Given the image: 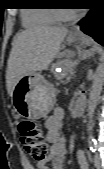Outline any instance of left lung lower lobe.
Wrapping results in <instances>:
<instances>
[{"mask_svg":"<svg viewBox=\"0 0 104 169\" xmlns=\"http://www.w3.org/2000/svg\"><path fill=\"white\" fill-rule=\"evenodd\" d=\"M81 30L97 42H104V11L92 8L87 16L79 22Z\"/></svg>","mask_w":104,"mask_h":169,"instance_id":"obj_1","label":"left lung lower lobe"}]
</instances>
